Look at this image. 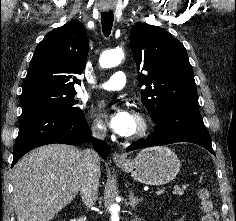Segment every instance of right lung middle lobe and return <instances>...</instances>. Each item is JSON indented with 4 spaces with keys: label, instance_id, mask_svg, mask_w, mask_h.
Masks as SVG:
<instances>
[{
    "label": "right lung middle lobe",
    "instance_id": "obj_1",
    "mask_svg": "<svg viewBox=\"0 0 236 221\" xmlns=\"http://www.w3.org/2000/svg\"><path fill=\"white\" fill-rule=\"evenodd\" d=\"M76 91L44 88L21 94L22 113L35 109H56L66 112L79 113L81 109L74 100Z\"/></svg>",
    "mask_w": 236,
    "mask_h": 221
}]
</instances>
